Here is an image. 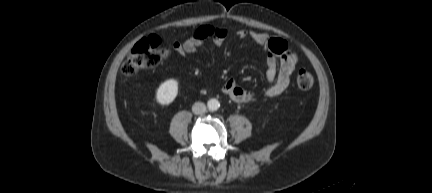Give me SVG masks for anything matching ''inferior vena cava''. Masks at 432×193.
<instances>
[{
	"instance_id": "obj_1",
	"label": "inferior vena cava",
	"mask_w": 432,
	"mask_h": 193,
	"mask_svg": "<svg viewBox=\"0 0 432 193\" xmlns=\"http://www.w3.org/2000/svg\"><path fill=\"white\" fill-rule=\"evenodd\" d=\"M192 112L196 115L203 114L206 112V105L203 102H196L192 106Z\"/></svg>"
}]
</instances>
